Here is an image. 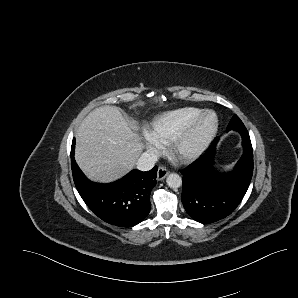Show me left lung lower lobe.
<instances>
[{"instance_id": "1", "label": "left lung lower lobe", "mask_w": 298, "mask_h": 298, "mask_svg": "<svg viewBox=\"0 0 298 298\" xmlns=\"http://www.w3.org/2000/svg\"><path fill=\"white\" fill-rule=\"evenodd\" d=\"M244 148L233 172L218 174L214 165L216 142L197 161L181 171V200L186 212L200 223H212L230 215L243 199L253 174V151L245 127L235 129Z\"/></svg>"}]
</instances>
